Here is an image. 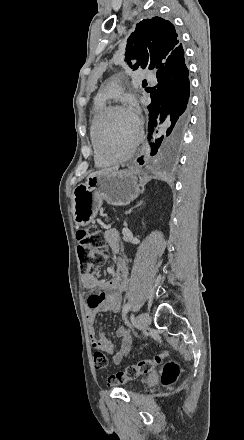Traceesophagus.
<instances>
[{
  "label": "esophagus",
  "mask_w": 244,
  "mask_h": 440,
  "mask_svg": "<svg viewBox=\"0 0 244 440\" xmlns=\"http://www.w3.org/2000/svg\"><path fill=\"white\" fill-rule=\"evenodd\" d=\"M149 152H150L149 144L148 142H145V144L141 148L140 153L135 158L133 165L139 168L143 167V165L147 163Z\"/></svg>",
  "instance_id": "obj_1"
}]
</instances>
